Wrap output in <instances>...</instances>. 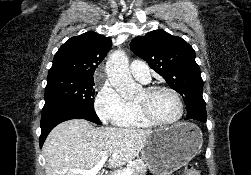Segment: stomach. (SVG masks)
Listing matches in <instances>:
<instances>
[{"label": "stomach", "mask_w": 251, "mask_h": 175, "mask_svg": "<svg viewBox=\"0 0 251 175\" xmlns=\"http://www.w3.org/2000/svg\"><path fill=\"white\" fill-rule=\"evenodd\" d=\"M203 145V133L190 121L174 123L167 129L149 133L141 151L149 171L156 175H170L191 161Z\"/></svg>", "instance_id": "0dacf381"}]
</instances>
